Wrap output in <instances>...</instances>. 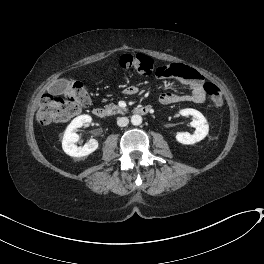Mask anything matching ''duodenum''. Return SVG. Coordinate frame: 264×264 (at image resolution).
Returning <instances> with one entry per match:
<instances>
[{
  "mask_svg": "<svg viewBox=\"0 0 264 264\" xmlns=\"http://www.w3.org/2000/svg\"><path fill=\"white\" fill-rule=\"evenodd\" d=\"M152 110V107L149 105H141L136 108L135 113L137 115H146ZM94 115L97 118H104L106 116V110L103 107H95L94 110Z\"/></svg>",
  "mask_w": 264,
  "mask_h": 264,
  "instance_id": "1",
  "label": "duodenum"
}]
</instances>
